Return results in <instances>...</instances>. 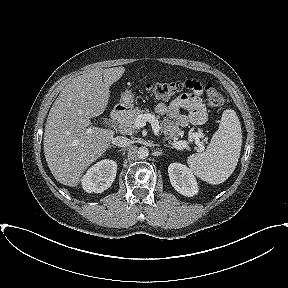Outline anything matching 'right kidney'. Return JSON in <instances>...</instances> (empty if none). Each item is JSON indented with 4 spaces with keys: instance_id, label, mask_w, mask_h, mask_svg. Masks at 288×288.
Instances as JSON below:
<instances>
[{
    "instance_id": "ca27d5eb",
    "label": "right kidney",
    "mask_w": 288,
    "mask_h": 288,
    "mask_svg": "<svg viewBox=\"0 0 288 288\" xmlns=\"http://www.w3.org/2000/svg\"><path fill=\"white\" fill-rule=\"evenodd\" d=\"M117 173V163L105 159L90 167L82 178V187L88 192L101 193L113 183Z\"/></svg>"
}]
</instances>
